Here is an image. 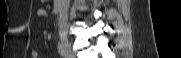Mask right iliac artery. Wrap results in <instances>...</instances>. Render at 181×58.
Segmentation results:
<instances>
[{"label":"right iliac artery","mask_w":181,"mask_h":58,"mask_svg":"<svg viewBox=\"0 0 181 58\" xmlns=\"http://www.w3.org/2000/svg\"><path fill=\"white\" fill-rule=\"evenodd\" d=\"M57 48H58V52L60 53V55L63 57H66L67 52L61 43L58 44Z\"/></svg>","instance_id":"82829eb1"}]
</instances>
